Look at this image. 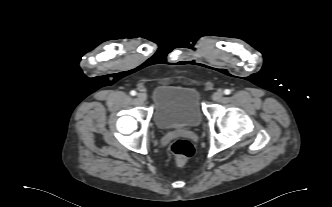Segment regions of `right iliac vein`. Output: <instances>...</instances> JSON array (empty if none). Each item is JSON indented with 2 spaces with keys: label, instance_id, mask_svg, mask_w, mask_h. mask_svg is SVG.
I'll list each match as a JSON object with an SVG mask.
<instances>
[{
  "label": "right iliac vein",
  "instance_id": "1",
  "mask_svg": "<svg viewBox=\"0 0 332 207\" xmlns=\"http://www.w3.org/2000/svg\"><path fill=\"white\" fill-rule=\"evenodd\" d=\"M137 98H138L139 101L144 102L147 99V95L143 92H140V93L137 94Z\"/></svg>",
  "mask_w": 332,
  "mask_h": 207
}]
</instances>
